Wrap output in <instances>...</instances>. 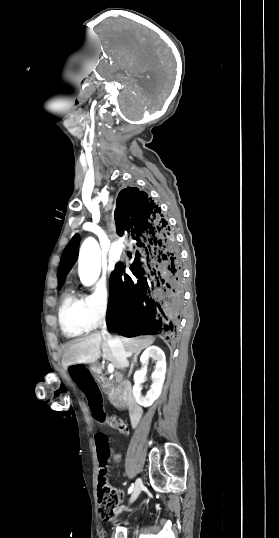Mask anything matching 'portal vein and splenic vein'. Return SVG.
Here are the masks:
<instances>
[{
  "mask_svg": "<svg viewBox=\"0 0 279 538\" xmlns=\"http://www.w3.org/2000/svg\"><path fill=\"white\" fill-rule=\"evenodd\" d=\"M107 370H108L109 374H113V372H114V366H113V364H109Z\"/></svg>",
  "mask_w": 279,
  "mask_h": 538,
  "instance_id": "obj_1",
  "label": "portal vein and splenic vein"
}]
</instances>
